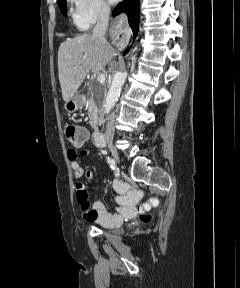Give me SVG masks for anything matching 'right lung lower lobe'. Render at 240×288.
Here are the masks:
<instances>
[{
	"label": "right lung lower lobe",
	"instance_id": "right-lung-lower-lobe-1",
	"mask_svg": "<svg viewBox=\"0 0 240 288\" xmlns=\"http://www.w3.org/2000/svg\"><path fill=\"white\" fill-rule=\"evenodd\" d=\"M128 15L129 25L133 30L134 38L137 36L139 29V0H127L126 2L119 3L113 10L112 15L117 16L122 12ZM130 47L126 50L128 52Z\"/></svg>",
	"mask_w": 240,
	"mask_h": 288
}]
</instances>
